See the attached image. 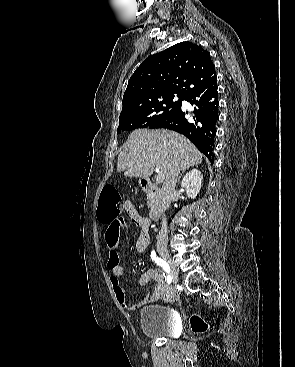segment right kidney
Returning a JSON list of instances; mask_svg holds the SVG:
<instances>
[{
	"label": "right kidney",
	"mask_w": 295,
	"mask_h": 367,
	"mask_svg": "<svg viewBox=\"0 0 295 367\" xmlns=\"http://www.w3.org/2000/svg\"><path fill=\"white\" fill-rule=\"evenodd\" d=\"M203 176L197 169L188 172L181 182V187L186 191L189 198H196L202 186Z\"/></svg>",
	"instance_id": "1"
}]
</instances>
